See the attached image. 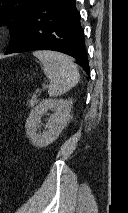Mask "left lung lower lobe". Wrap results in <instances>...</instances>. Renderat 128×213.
Here are the masks:
<instances>
[{"mask_svg": "<svg viewBox=\"0 0 128 213\" xmlns=\"http://www.w3.org/2000/svg\"><path fill=\"white\" fill-rule=\"evenodd\" d=\"M54 50L78 60L89 74L84 32L75 0H38L5 54Z\"/></svg>", "mask_w": 128, "mask_h": 213, "instance_id": "0a47b994", "label": "left lung lower lobe"}]
</instances>
